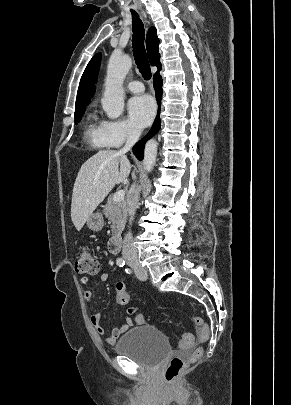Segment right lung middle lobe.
<instances>
[{
    "instance_id": "right-lung-middle-lobe-1",
    "label": "right lung middle lobe",
    "mask_w": 291,
    "mask_h": 405,
    "mask_svg": "<svg viewBox=\"0 0 291 405\" xmlns=\"http://www.w3.org/2000/svg\"><path fill=\"white\" fill-rule=\"evenodd\" d=\"M84 112H85V108L75 110V114H74V117H75V124H77L78 122H80V120H81V118H82Z\"/></svg>"
}]
</instances>
